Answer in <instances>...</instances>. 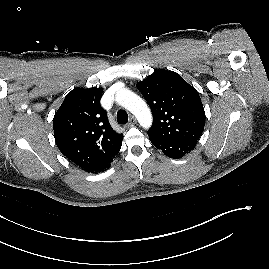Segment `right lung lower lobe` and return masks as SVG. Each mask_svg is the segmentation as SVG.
Wrapping results in <instances>:
<instances>
[{"mask_svg": "<svg viewBox=\"0 0 269 269\" xmlns=\"http://www.w3.org/2000/svg\"><path fill=\"white\" fill-rule=\"evenodd\" d=\"M121 144H122V143H121ZM120 148H121V145H120L119 148H118L114 153H112L107 159H105V160L102 161V162H99V163L95 164L93 167H91L90 169H88V170H86V171L89 172V173H98V172H101V171L106 170L108 167H110V164H111L113 158L115 157V155L118 154Z\"/></svg>", "mask_w": 269, "mask_h": 269, "instance_id": "obj_1", "label": "right lung lower lobe"}]
</instances>
